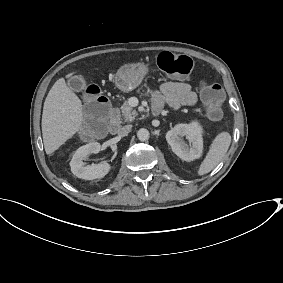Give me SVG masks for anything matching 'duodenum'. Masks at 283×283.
Returning a JSON list of instances; mask_svg holds the SVG:
<instances>
[{"instance_id": "duodenum-1", "label": "duodenum", "mask_w": 283, "mask_h": 283, "mask_svg": "<svg viewBox=\"0 0 283 283\" xmlns=\"http://www.w3.org/2000/svg\"><path fill=\"white\" fill-rule=\"evenodd\" d=\"M105 108L107 109V107L105 106ZM161 111V108L157 105H154L152 108V112L154 115H158ZM120 130V120L117 114H114L108 124V131L110 133H118Z\"/></svg>"}]
</instances>
